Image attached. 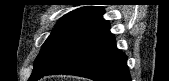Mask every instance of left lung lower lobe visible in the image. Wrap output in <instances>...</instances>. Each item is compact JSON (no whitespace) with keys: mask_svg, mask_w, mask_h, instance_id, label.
Here are the masks:
<instances>
[{"mask_svg":"<svg viewBox=\"0 0 169 81\" xmlns=\"http://www.w3.org/2000/svg\"><path fill=\"white\" fill-rule=\"evenodd\" d=\"M108 21L102 17L80 31L69 43L49 71L38 75H75L94 81H131L127 58L117 49L109 31Z\"/></svg>","mask_w":169,"mask_h":81,"instance_id":"1","label":"left lung lower lobe"}]
</instances>
